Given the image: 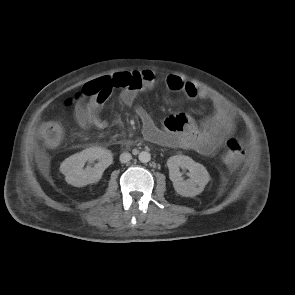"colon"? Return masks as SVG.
Instances as JSON below:
<instances>
[{"mask_svg":"<svg viewBox=\"0 0 295 295\" xmlns=\"http://www.w3.org/2000/svg\"><path fill=\"white\" fill-rule=\"evenodd\" d=\"M140 84L139 77L132 73H117L111 77H106L96 84V88H103L105 91L111 92L114 88L125 89L135 87ZM88 96V91L83 88L79 89L75 95L68 99L67 103L72 104L79 99ZM40 134L46 146L53 148L60 144L63 137V130L56 122H45L40 128ZM245 156V148L243 143L233 137L227 140L225 150V160L231 165L238 164Z\"/></svg>","mask_w":295,"mask_h":295,"instance_id":"1","label":"colon"}]
</instances>
